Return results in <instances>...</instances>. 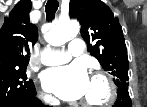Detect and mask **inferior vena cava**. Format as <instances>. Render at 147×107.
Returning <instances> with one entry per match:
<instances>
[{"instance_id": "obj_1", "label": "inferior vena cava", "mask_w": 147, "mask_h": 107, "mask_svg": "<svg viewBox=\"0 0 147 107\" xmlns=\"http://www.w3.org/2000/svg\"><path fill=\"white\" fill-rule=\"evenodd\" d=\"M45 100L50 102L52 105H59V101L52 96L45 97Z\"/></svg>"}]
</instances>
